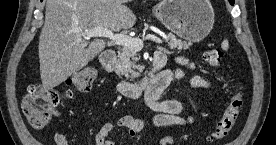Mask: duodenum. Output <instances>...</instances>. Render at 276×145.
<instances>
[{
  "mask_svg": "<svg viewBox=\"0 0 276 145\" xmlns=\"http://www.w3.org/2000/svg\"><path fill=\"white\" fill-rule=\"evenodd\" d=\"M103 68L108 72L116 71L117 54L112 49L105 50L100 57ZM166 64V56L162 52H157L151 64L149 73L139 82L130 83L126 81L118 82V92L126 98L137 99L143 93L152 90H164L170 82L169 77L161 71Z\"/></svg>",
  "mask_w": 276,
  "mask_h": 145,
  "instance_id": "obj_1",
  "label": "duodenum"
}]
</instances>
